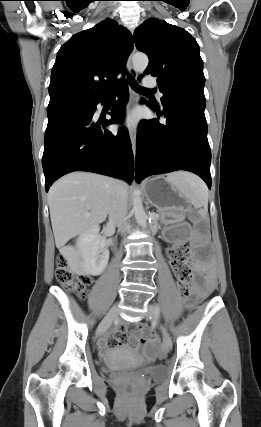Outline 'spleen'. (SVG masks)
Instances as JSON below:
<instances>
[{
	"label": "spleen",
	"mask_w": 261,
	"mask_h": 427,
	"mask_svg": "<svg viewBox=\"0 0 261 427\" xmlns=\"http://www.w3.org/2000/svg\"><path fill=\"white\" fill-rule=\"evenodd\" d=\"M178 176H168L175 182L189 202L199 209L202 218H207L208 212V189L204 182L197 176L187 172H178Z\"/></svg>",
	"instance_id": "1"
}]
</instances>
